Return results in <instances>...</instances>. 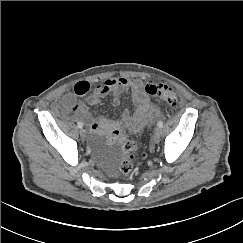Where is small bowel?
Instances as JSON below:
<instances>
[{"mask_svg": "<svg viewBox=\"0 0 243 243\" xmlns=\"http://www.w3.org/2000/svg\"><path fill=\"white\" fill-rule=\"evenodd\" d=\"M143 88L141 80L126 77L108 78L94 87L88 81H80L74 85L73 93L64 95L59 100L57 107L61 110L72 109L78 118L90 120V132L103 135L108 144H114L125 140L128 133H140L145 125L161 115V110L144 93ZM123 92H129L133 109H125L119 120L105 118L101 114L91 117L88 107L76 98L86 96L87 103L95 105L110 95L112 104L118 106Z\"/></svg>", "mask_w": 243, "mask_h": 243, "instance_id": "small-bowel-1", "label": "small bowel"}]
</instances>
